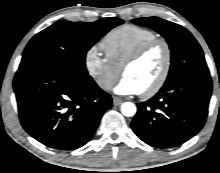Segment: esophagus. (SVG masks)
<instances>
[{"instance_id": "1", "label": "esophagus", "mask_w": 220, "mask_h": 173, "mask_svg": "<svg viewBox=\"0 0 220 173\" xmlns=\"http://www.w3.org/2000/svg\"><path fill=\"white\" fill-rule=\"evenodd\" d=\"M123 103V100L122 99H120V98H118V97H114L113 98V104L115 105V106H119V105H121Z\"/></svg>"}]
</instances>
